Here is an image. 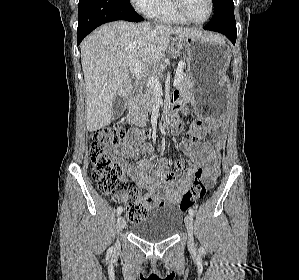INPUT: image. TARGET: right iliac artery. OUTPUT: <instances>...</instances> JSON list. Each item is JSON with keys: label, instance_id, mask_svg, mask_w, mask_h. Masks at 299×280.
<instances>
[{"label": "right iliac artery", "instance_id": "82829eb1", "mask_svg": "<svg viewBox=\"0 0 299 280\" xmlns=\"http://www.w3.org/2000/svg\"><path fill=\"white\" fill-rule=\"evenodd\" d=\"M123 211V208L121 206H119L116 210L117 215H120Z\"/></svg>", "mask_w": 299, "mask_h": 280}]
</instances>
